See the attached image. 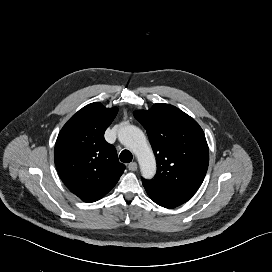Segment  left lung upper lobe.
I'll return each mask as SVG.
<instances>
[{
	"instance_id": "left-lung-upper-lobe-1",
	"label": "left lung upper lobe",
	"mask_w": 272,
	"mask_h": 272,
	"mask_svg": "<svg viewBox=\"0 0 272 272\" xmlns=\"http://www.w3.org/2000/svg\"><path fill=\"white\" fill-rule=\"evenodd\" d=\"M134 116L146 129L156 156L157 173L147 181L194 195L209 163L208 145L199 124L177 107L163 103L137 110Z\"/></svg>"
}]
</instances>
